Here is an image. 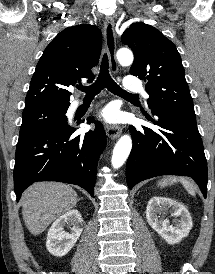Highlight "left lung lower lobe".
<instances>
[{"label":"left lung lower lobe","instance_id":"0a47b994","mask_svg":"<svg viewBox=\"0 0 215 274\" xmlns=\"http://www.w3.org/2000/svg\"><path fill=\"white\" fill-rule=\"evenodd\" d=\"M155 118L145 114L155 127L131 126L133 148L126 165L129 189L160 175L193 178L207 195V162L195 114L167 107L151 108Z\"/></svg>","mask_w":215,"mask_h":274}]
</instances>
